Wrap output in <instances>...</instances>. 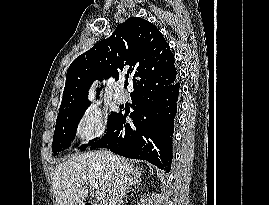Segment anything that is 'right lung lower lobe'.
I'll return each instance as SVG.
<instances>
[{"mask_svg":"<svg viewBox=\"0 0 269 205\" xmlns=\"http://www.w3.org/2000/svg\"><path fill=\"white\" fill-rule=\"evenodd\" d=\"M179 90L176 81L133 94V122L126 123V115L120 113L90 149L105 147L127 158L147 160L169 172Z\"/></svg>","mask_w":269,"mask_h":205,"instance_id":"obj_1","label":"right lung lower lobe"}]
</instances>
